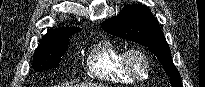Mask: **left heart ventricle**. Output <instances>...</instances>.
<instances>
[{
    "mask_svg": "<svg viewBox=\"0 0 205 87\" xmlns=\"http://www.w3.org/2000/svg\"><path fill=\"white\" fill-rule=\"evenodd\" d=\"M132 66L135 72H137L139 75H143L146 71L145 62L138 57H134L132 59Z\"/></svg>",
    "mask_w": 205,
    "mask_h": 87,
    "instance_id": "obj_1",
    "label": "left heart ventricle"
}]
</instances>
